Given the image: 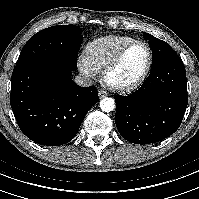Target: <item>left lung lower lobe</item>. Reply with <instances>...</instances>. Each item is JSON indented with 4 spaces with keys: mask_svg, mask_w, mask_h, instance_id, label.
<instances>
[{
    "mask_svg": "<svg viewBox=\"0 0 199 199\" xmlns=\"http://www.w3.org/2000/svg\"><path fill=\"white\" fill-rule=\"evenodd\" d=\"M185 67L176 56L151 68L141 87L118 96L115 122L119 133L135 144L155 143L180 126L188 103Z\"/></svg>",
    "mask_w": 199,
    "mask_h": 199,
    "instance_id": "0a47b994",
    "label": "left lung lower lobe"
}]
</instances>
